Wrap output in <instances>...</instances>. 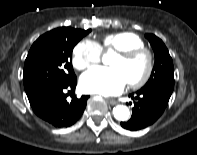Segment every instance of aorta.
Wrapping results in <instances>:
<instances>
[{"mask_svg": "<svg viewBox=\"0 0 197 155\" xmlns=\"http://www.w3.org/2000/svg\"><path fill=\"white\" fill-rule=\"evenodd\" d=\"M108 59V54L103 56V62H106ZM113 115L115 119L119 121H126L129 119L130 111L127 106L117 105L113 108Z\"/></svg>", "mask_w": 197, "mask_h": 155, "instance_id": "aorta-1", "label": "aorta"}]
</instances>
